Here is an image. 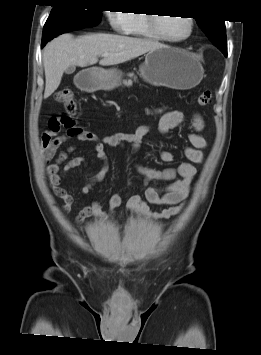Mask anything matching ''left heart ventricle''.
<instances>
[{
	"label": "left heart ventricle",
	"instance_id": "1",
	"mask_svg": "<svg viewBox=\"0 0 261 355\" xmlns=\"http://www.w3.org/2000/svg\"><path fill=\"white\" fill-rule=\"evenodd\" d=\"M159 28L163 35L176 39L185 36L189 31V23L185 17H166L159 19Z\"/></svg>",
	"mask_w": 261,
	"mask_h": 355
}]
</instances>
